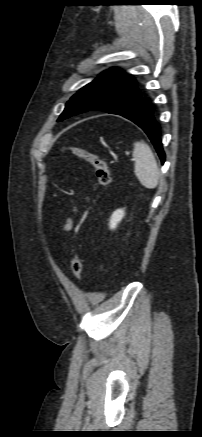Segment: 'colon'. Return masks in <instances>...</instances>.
I'll use <instances>...</instances> for the list:
<instances>
[{"label":"colon","instance_id":"5ec220e1","mask_svg":"<svg viewBox=\"0 0 202 437\" xmlns=\"http://www.w3.org/2000/svg\"><path fill=\"white\" fill-rule=\"evenodd\" d=\"M67 150L72 155L86 161L94 168L100 187H107L111 183L112 178L107 163L100 155L81 147H70ZM82 270V259L78 251H76L71 259V271L75 279H80Z\"/></svg>","mask_w":202,"mask_h":437}]
</instances>
